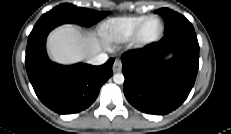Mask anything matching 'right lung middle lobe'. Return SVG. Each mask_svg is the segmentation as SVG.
Returning a JSON list of instances; mask_svg holds the SVG:
<instances>
[{
	"label": "right lung middle lobe",
	"instance_id": "right-lung-middle-lobe-1",
	"mask_svg": "<svg viewBox=\"0 0 231 134\" xmlns=\"http://www.w3.org/2000/svg\"><path fill=\"white\" fill-rule=\"evenodd\" d=\"M109 13L110 12H98L64 3L43 14L36 24L61 21L63 23H76L82 26H91Z\"/></svg>",
	"mask_w": 231,
	"mask_h": 134
}]
</instances>
